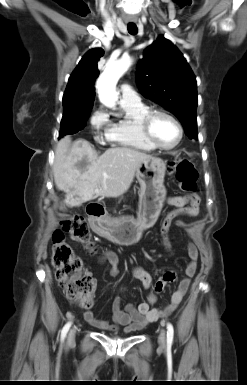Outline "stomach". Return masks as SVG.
<instances>
[{"mask_svg":"<svg viewBox=\"0 0 247 385\" xmlns=\"http://www.w3.org/2000/svg\"><path fill=\"white\" fill-rule=\"evenodd\" d=\"M165 162L156 157L143 160L136 169L140 184L138 217L107 219L103 236L119 245L137 243L144 230L152 227L159 217L166 197Z\"/></svg>","mask_w":247,"mask_h":385,"instance_id":"0dacf381","label":"stomach"}]
</instances>
